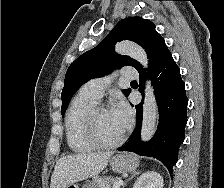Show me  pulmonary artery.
<instances>
[{
    "label": "pulmonary artery",
    "instance_id": "1",
    "mask_svg": "<svg viewBox=\"0 0 224 188\" xmlns=\"http://www.w3.org/2000/svg\"><path fill=\"white\" fill-rule=\"evenodd\" d=\"M121 77L124 79H137L139 74L138 71L133 67H124L121 71ZM111 81V76L97 77L89 80L81 90L91 97L100 100L105 89L110 85Z\"/></svg>",
    "mask_w": 224,
    "mask_h": 188
}]
</instances>
